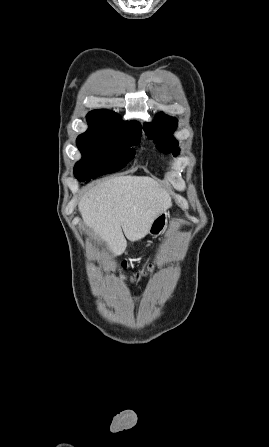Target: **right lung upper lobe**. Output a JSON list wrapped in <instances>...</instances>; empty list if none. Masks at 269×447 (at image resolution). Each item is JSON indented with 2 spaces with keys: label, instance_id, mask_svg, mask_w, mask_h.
Instances as JSON below:
<instances>
[{
  "label": "right lung upper lobe",
  "instance_id": "cb5924a9",
  "mask_svg": "<svg viewBox=\"0 0 269 447\" xmlns=\"http://www.w3.org/2000/svg\"><path fill=\"white\" fill-rule=\"evenodd\" d=\"M88 123L109 127L140 126L138 122L122 121L116 113L107 110H94L87 115Z\"/></svg>",
  "mask_w": 269,
  "mask_h": 447
}]
</instances>
